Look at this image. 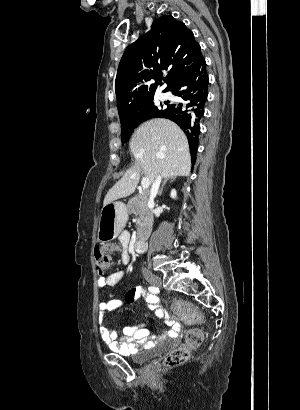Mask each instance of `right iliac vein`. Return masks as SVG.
<instances>
[{
    "label": "right iliac vein",
    "mask_w": 300,
    "mask_h": 410,
    "mask_svg": "<svg viewBox=\"0 0 300 410\" xmlns=\"http://www.w3.org/2000/svg\"><path fill=\"white\" fill-rule=\"evenodd\" d=\"M145 278H146V280H147L150 284H152V285H154V286H161V284H162L161 278L158 277V276L155 275V274L145 273Z\"/></svg>",
    "instance_id": "63e3f726"
}]
</instances>
